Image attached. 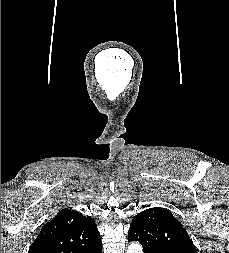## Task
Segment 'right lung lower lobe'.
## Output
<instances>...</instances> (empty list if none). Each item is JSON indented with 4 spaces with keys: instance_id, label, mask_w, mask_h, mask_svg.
I'll use <instances>...</instances> for the list:
<instances>
[{
    "instance_id": "obj_1",
    "label": "right lung lower lobe",
    "mask_w": 229,
    "mask_h": 253,
    "mask_svg": "<svg viewBox=\"0 0 229 253\" xmlns=\"http://www.w3.org/2000/svg\"><path fill=\"white\" fill-rule=\"evenodd\" d=\"M102 250V246L100 245L99 247H97L96 249L90 251L89 253H101Z\"/></svg>"
}]
</instances>
